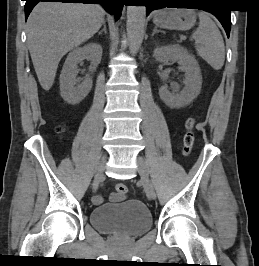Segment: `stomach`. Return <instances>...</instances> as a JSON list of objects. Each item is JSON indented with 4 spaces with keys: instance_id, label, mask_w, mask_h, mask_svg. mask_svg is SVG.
<instances>
[{
    "instance_id": "stomach-1",
    "label": "stomach",
    "mask_w": 259,
    "mask_h": 266,
    "mask_svg": "<svg viewBox=\"0 0 259 266\" xmlns=\"http://www.w3.org/2000/svg\"><path fill=\"white\" fill-rule=\"evenodd\" d=\"M153 22L160 28L185 31L194 26L196 15L189 9H163L155 13Z\"/></svg>"
}]
</instances>
